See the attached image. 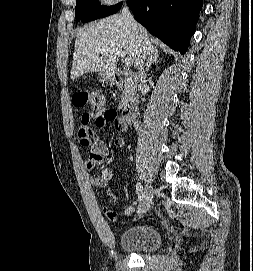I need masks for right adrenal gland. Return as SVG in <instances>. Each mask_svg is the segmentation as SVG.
Segmentation results:
<instances>
[{
    "label": "right adrenal gland",
    "mask_w": 253,
    "mask_h": 271,
    "mask_svg": "<svg viewBox=\"0 0 253 271\" xmlns=\"http://www.w3.org/2000/svg\"><path fill=\"white\" fill-rule=\"evenodd\" d=\"M158 58H159L158 54L148 56V60H147V63H146V70H145L146 72L149 71V68L151 67V65L157 64L159 62Z\"/></svg>",
    "instance_id": "obj_1"
}]
</instances>
